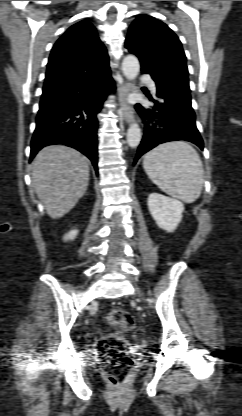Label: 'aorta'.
Segmentation results:
<instances>
[{"label":"aorta","mask_w":242,"mask_h":416,"mask_svg":"<svg viewBox=\"0 0 242 416\" xmlns=\"http://www.w3.org/2000/svg\"><path fill=\"white\" fill-rule=\"evenodd\" d=\"M122 72L128 80H134L140 72L138 58L127 55L122 62ZM141 129L138 124H132L127 131V142L131 148H136L141 141Z\"/></svg>","instance_id":"aorta-1"}]
</instances>
